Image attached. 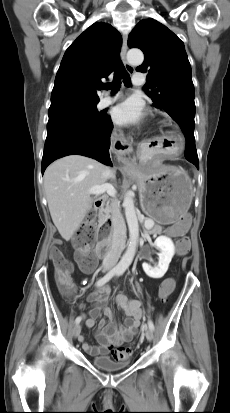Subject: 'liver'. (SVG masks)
Returning <instances> with one entry per match:
<instances>
[{"mask_svg": "<svg viewBox=\"0 0 230 413\" xmlns=\"http://www.w3.org/2000/svg\"><path fill=\"white\" fill-rule=\"evenodd\" d=\"M107 167L95 159L69 155L49 165L44 173V189L49 211L60 235L69 241L90 210L89 190L106 184ZM115 172V171H114Z\"/></svg>", "mask_w": 230, "mask_h": 413, "instance_id": "liver-1", "label": "liver"}]
</instances>
